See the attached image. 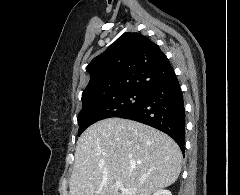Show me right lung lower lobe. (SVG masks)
<instances>
[{"mask_svg": "<svg viewBox=\"0 0 240 195\" xmlns=\"http://www.w3.org/2000/svg\"><path fill=\"white\" fill-rule=\"evenodd\" d=\"M118 117L147 124L168 134L184 152V100L175 74L151 87L141 104Z\"/></svg>", "mask_w": 240, "mask_h": 195, "instance_id": "right-lung-lower-lobe-1", "label": "right lung lower lobe"}]
</instances>
